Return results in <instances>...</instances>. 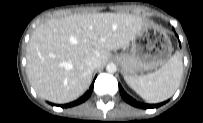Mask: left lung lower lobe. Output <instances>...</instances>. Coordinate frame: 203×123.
<instances>
[{"mask_svg":"<svg viewBox=\"0 0 203 123\" xmlns=\"http://www.w3.org/2000/svg\"><path fill=\"white\" fill-rule=\"evenodd\" d=\"M119 89H120V93H121V96L123 97V99L127 103L131 104L132 106L148 109V108H157V107L161 106L162 104H164V103H160V104H144V103H140V102L136 101L135 99L131 98L129 95H127V93L123 90L121 85H119Z\"/></svg>","mask_w":203,"mask_h":123,"instance_id":"1","label":"left lung lower lobe"}]
</instances>
